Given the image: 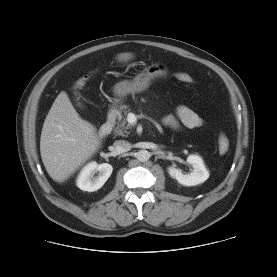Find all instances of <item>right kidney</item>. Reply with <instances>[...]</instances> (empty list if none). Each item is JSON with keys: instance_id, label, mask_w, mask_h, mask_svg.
Segmentation results:
<instances>
[{"instance_id": "ca27d5eb", "label": "right kidney", "mask_w": 277, "mask_h": 277, "mask_svg": "<svg viewBox=\"0 0 277 277\" xmlns=\"http://www.w3.org/2000/svg\"><path fill=\"white\" fill-rule=\"evenodd\" d=\"M113 167L108 163H88L80 171L76 185L83 191L94 192L99 190L112 174Z\"/></svg>"}]
</instances>
